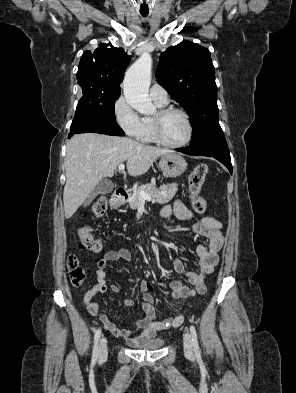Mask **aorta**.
<instances>
[{
    "instance_id": "1",
    "label": "aorta",
    "mask_w": 296,
    "mask_h": 393,
    "mask_svg": "<svg viewBox=\"0 0 296 393\" xmlns=\"http://www.w3.org/2000/svg\"><path fill=\"white\" fill-rule=\"evenodd\" d=\"M152 59L143 54L126 72L123 91L127 103L141 114H152L155 111L149 99Z\"/></svg>"
}]
</instances>
